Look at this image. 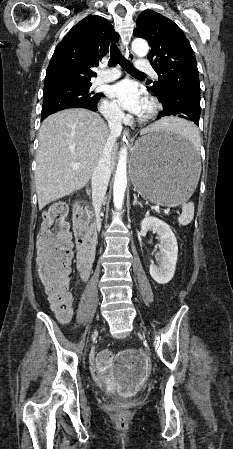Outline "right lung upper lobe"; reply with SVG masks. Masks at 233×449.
Segmentation results:
<instances>
[{"label":"right lung upper lobe","mask_w":233,"mask_h":449,"mask_svg":"<svg viewBox=\"0 0 233 449\" xmlns=\"http://www.w3.org/2000/svg\"><path fill=\"white\" fill-rule=\"evenodd\" d=\"M119 38L101 16H87L57 45L46 71L44 92L64 86L91 84V68L108 52L109 43Z\"/></svg>","instance_id":"1"}]
</instances>
